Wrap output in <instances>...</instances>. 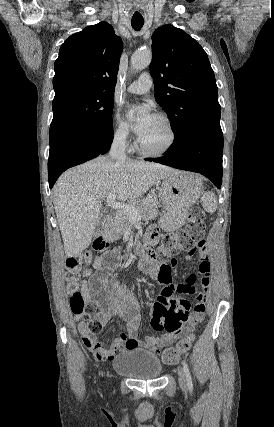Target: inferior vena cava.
<instances>
[{
    "instance_id": "1",
    "label": "inferior vena cava",
    "mask_w": 274,
    "mask_h": 427,
    "mask_svg": "<svg viewBox=\"0 0 274 427\" xmlns=\"http://www.w3.org/2000/svg\"><path fill=\"white\" fill-rule=\"evenodd\" d=\"M126 138L124 136H119V138H114V142L111 146V150L109 152V158L111 160H126Z\"/></svg>"
}]
</instances>
